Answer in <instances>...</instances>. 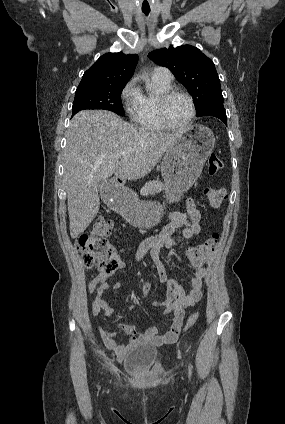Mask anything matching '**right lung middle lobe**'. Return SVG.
Segmentation results:
<instances>
[{"label":"right lung middle lobe","mask_w":285,"mask_h":424,"mask_svg":"<svg viewBox=\"0 0 285 424\" xmlns=\"http://www.w3.org/2000/svg\"><path fill=\"white\" fill-rule=\"evenodd\" d=\"M126 83L77 87L72 106L73 114L85 109H104L123 116L121 93Z\"/></svg>","instance_id":"right-lung-middle-lobe-1"}]
</instances>
